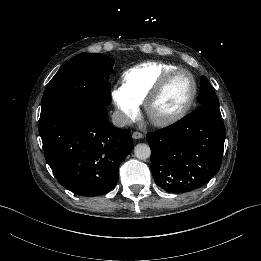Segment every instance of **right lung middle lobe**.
<instances>
[{
	"label": "right lung middle lobe",
	"instance_id": "dd1d6c3e",
	"mask_svg": "<svg viewBox=\"0 0 261 261\" xmlns=\"http://www.w3.org/2000/svg\"><path fill=\"white\" fill-rule=\"evenodd\" d=\"M113 63V59L100 54L80 53L71 58L47 85L41 115L85 104L109 105Z\"/></svg>",
	"mask_w": 261,
	"mask_h": 261
}]
</instances>
